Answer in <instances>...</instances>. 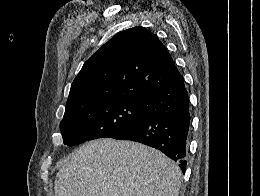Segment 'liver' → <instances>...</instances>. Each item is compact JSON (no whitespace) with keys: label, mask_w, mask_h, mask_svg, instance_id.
I'll use <instances>...</instances> for the list:
<instances>
[{"label":"liver","mask_w":260,"mask_h":196,"mask_svg":"<svg viewBox=\"0 0 260 196\" xmlns=\"http://www.w3.org/2000/svg\"><path fill=\"white\" fill-rule=\"evenodd\" d=\"M181 176L179 166L159 150L100 138L67 158L55 196H178Z\"/></svg>","instance_id":"6515ba94"}]
</instances>
